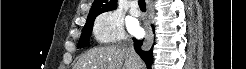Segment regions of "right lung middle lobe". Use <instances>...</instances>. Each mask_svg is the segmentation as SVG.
Instances as JSON below:
<instances>
[{
  "label": "right lung middle lobe",
  "mask_w": 246,
  "mask_h": 69,
  "mask_svg": "<svg viewBox=\"0 0 246 69\" xmlns=\"http://www.w3.org/2000/svg\"><path fill=\"white\" fill-rule=\"evenodd\" d=\"M93 23H94V20L86 22L83 28L82 34L80 36L78 48H83V47L88 46L90 34L92 32Z\"/></svg>",
  "instance_id": "obj_1"
}]
</instances>
